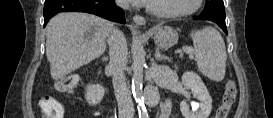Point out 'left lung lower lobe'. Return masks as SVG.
Returning a JSON list of instances; mask_svg holds the SVG:
<instances>
[{
	"instance_id": "left-lung-lower-lobe-1",
	"label": "left lung lower lobe",
	"mask_w": 273,
	"mask_h": 118,
	"mask_svg": "<svg viewBox=\"0 0 273 118\" xmlns=\"http://www.w3.org/2000/svg\"><path fill=\"white\" fill-rule=\"evenodd\" d=\"M196 19L213 21L216 24H218L222 28V30L227 34V28H226L225 21L217 20V19H214V18H207V17H203V16H200V15L197 16Z\"/></svg>"
}]
</instances>
